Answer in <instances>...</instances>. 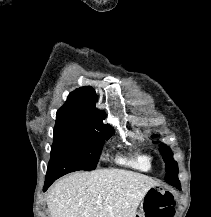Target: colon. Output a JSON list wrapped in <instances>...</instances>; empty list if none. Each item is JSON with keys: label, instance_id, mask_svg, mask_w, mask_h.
<instances>
[{"label": "colon", "instance_id": "5ec220e1", "mask_svg": "<svg viewBox=\"0 0 211 217\" xmlns=\"http://www.w3.org/2000/svg\"><path fill=\"white\" fill-rule=\"evenodd\" d=\"M175 198L172 193L154 188L147 195L145 217H173Z\"/></svg>", "mask_w": 211, "mask_h": 217}]
</instances>
